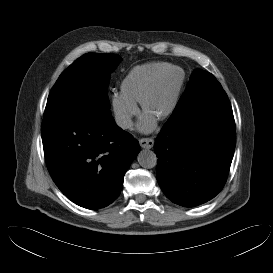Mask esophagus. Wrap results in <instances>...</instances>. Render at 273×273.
<instances>
[{
	"mask_svg": "<svg viewBox=\"0 0 273 273\" xmlns=\"http://www.w3.org/2000/svg\"><path fill=\"white\" fill-rule=\"evenodd\" d=\"M139 144L142 148L151 149L154 146V140L152 138H141Z\"/></svg>",
	"mask_w": 273,
	"mask_h": 273,
	"instance_id": "1",
	"label": "esophagus"
}]
</instances>
